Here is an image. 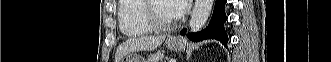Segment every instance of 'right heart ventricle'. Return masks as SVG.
Wrapping results in <instances>:
<instances>
[{"mask_svg": "<svg viewBox=\"0 0 331 62\" xmlns=\"http://www.w3.org/2000/svg\"><path fill=\"white\" fill-rule=\"evenodd\" d=\"M143 0H120L118 3V23L120 31L129 37H137L152 32L143 19Z\"/></svg>", "mask_w": 331, "mask_h": 62, "instance_id": "right-heart-ventricle-1", "label": "right heart ventricle"}]
</instances>
